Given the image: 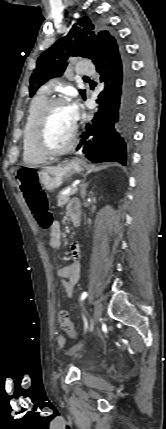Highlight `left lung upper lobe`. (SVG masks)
<instances>
[{"instance_id":"left-lung-upper-lobe-1","label":"left lung upper lobe","mask_w":166,"mask_h":429,"mask_svg":"<svg viewBox=\"0 0 166 429\" xmlns=\"http://www.w3.org/2000/svg\"><path fill=\"white\" fill-rule=\"evenodd\" d=\"M110 41H116V38L109 31L99 30L87 17L80 19L66 37L59 39L38 58L30 78V97L47 80L61 76L71 57L80 56L93 60L98 43L109 44ZM79 92L85 98V90Z\"/></svg>"}]
</instances>
